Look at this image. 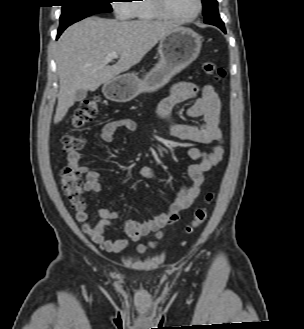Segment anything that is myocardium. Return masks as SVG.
Listing matches in <instances>:
<instances>
[{
  "label": "myocardium",
  "mask_w": 304,
  "mask_h": 329,
  "mask_svg": "<svg viewBox=\"0 0 304 329\" xmlns=\"http://www.w3.org/2000/svg\"><path fill=\"white\" fill-rule=\"evenodd\" d=\"M198 8L196 12L193 15L190 16H178L173 14L169 7L167 0H153V4L156 8V10L162 15L163 18L176 21V22H188L196 19L203 10V1L197 0Z\"/></svg>",
  "instance_id": "obj_1"
}]
</instances>
